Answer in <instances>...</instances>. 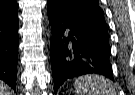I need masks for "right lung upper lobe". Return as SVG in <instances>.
Instances as JSON below:
<instances>
[{"mask_svg":"<svg viewBox=\"0 0 135 95\" xmlns=\"http://www.w3.org/2000/svg\"><path fill=\"white\" fill-rule=\"evenodd\" d=\"M18 15L16 0H0V18H10Z\"/></svg>","mask_w":135,"mask_h":95,"instance_id":"obj_1","label":"right lung upper lobe"}]
</instances>
